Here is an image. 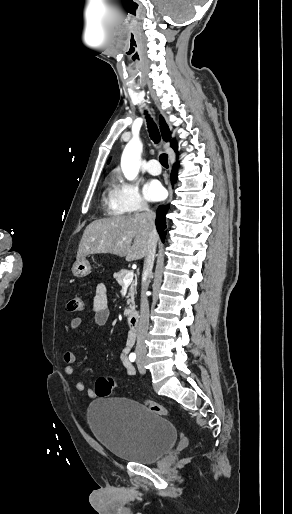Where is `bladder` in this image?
Returning <instances> with one entry per match:
<instances>
[{
	"label": "bladder",
	"instance_id": "31cf9c89",
	"mask_svg": "<svg viewBox=\"0 0 292 514\" xmlns=\"http://www.w3.org/2000/svg\"><path fill=\"white\" fill-rule=\"evenodd\" d=\"M87 421L98 442L123 461L153 463L166 455L178 439L171 421L128 398L92 401Z\"/></svg>",
	"mask_w": 292,
	"mask_h": 514
}]
</instances>
